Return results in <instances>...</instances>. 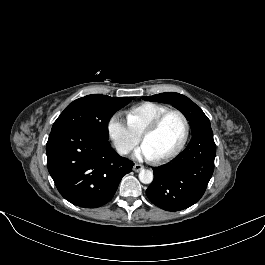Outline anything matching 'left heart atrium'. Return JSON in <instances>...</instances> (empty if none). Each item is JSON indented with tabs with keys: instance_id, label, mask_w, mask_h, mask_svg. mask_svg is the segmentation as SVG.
I'll use <instances>...</instances> for the list:
<instances>
[{
	"instance_id": "left-heart-atrium-1",
	"label": "left heart atrium",
	"mask_w": 265,
	"mask_h": 265,
	"mask_svg": "<svg viewBox=\"0 0 265 265\" xmlns=\"http://www.w3.org/2000/svg\"><path fill=\"white\" fill-rule=\"evenodd\" d=\"M135 156L138 158H145V159H153L154 156L150 149L142 143L136 150H135Z\"/></svg>"
}]
</instances>
